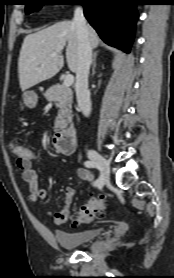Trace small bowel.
Instances as JSON below:
<instances>
[{"instance_id": "c3829d8e", "label": "small bowel", "mask_w": 174, "mask_h": 278, "mask_svg": "<svg viewBox=\"0 0 174 278\" xmlns=\"http://www.w3.org/2000/svg\"><path fill=\"white\" fill-rule=\"evenodd\" d=\"M32 159H19L17 158L16 164L21 170V176L24 182L28 184L29 188V199L32 202L43 200L47 196V191L39 186L38 174L33 168ZM77 176L80 180L85 183L92 184L94 183L93 173L86 168H78ZM75 197V190L71 187H68L64 191L63 204L57 212L50 214L53 218V221L57 225H62L67 222L71 206L73 204Z\"/></svg>"}]
</instances>
